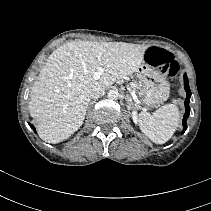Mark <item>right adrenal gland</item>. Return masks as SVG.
I'll use <instances>...</instances> for the list:
<instances>
[{
  "instance_id": "obj_1",
  "label": "right adrenal gland",
  "mask_w": 211,
  "mask_h": 211,
  "mask_svg": "<svg viewBox=\"0 0 211 211\" xmlns=\"http://www.w3.org/2000/svg\"><path fill=\"white\" fill-rule=\"evenodd\" d=\"M93 103H95V101H91V102H89V106H90V105H92Z\"/></svg>"
}]
</instances>
